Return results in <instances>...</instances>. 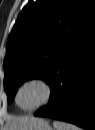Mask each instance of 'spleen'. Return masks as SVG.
I'll use <instances>...</instances> for the list:
<instances>
[{
    "mask_svg": "<svg viewBox=\"0 0 95 130\" xmlns=\"http://www.w3.org/2000/svg\"><path fill=\"white\" fill-rule=\"evenodd\" d=\"M53 127L55 130H80L79 127L73 124L66 123L63 121H58V120L53 121Z\"/></svg>",
    "mask_w": 95,
    "mask_h": 130,
    "instance_id": "spleen-1",
    "label": "spleen"
}]
</instances>
